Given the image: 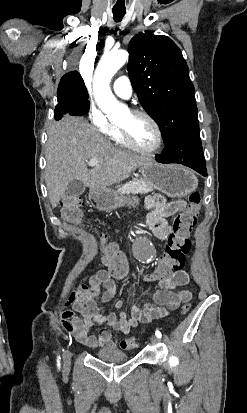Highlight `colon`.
Segmentation results:
<instances>
[{"instance_id":"5ec220e1","label":"colon","mask_w":247,"mask_h":413,"mask_svg":"<svg viewBox=\"0 0 247 413\" xmlns=\"http://www.w3.org/2000/svg\"><path fill=\"white\" fill-rule=\"evenodd\" d=\"M189 208L178 214L172 222L173 230L168 236L167 244L163 259L161 260V267L158 269L160 276H165L167 270L171 265H181L185 259V253L189 251V237L190 228L195 227L200 211V194L192 192L188 197ZM60 211L62 219L71 225H83V203L77 196L66 195L60 204ZM100 247L98 249L99 256L105 261L106 265L112 274H125L128 271V264L124 261L126 259V252L119 249L115 244H110L107 239L101 236L99 241ZM191 309L190 303H184L180 307V314L186 315ZM135 339L122 340L120 347L128 349L135 344Z\"/></svg>"}]
</instances>
